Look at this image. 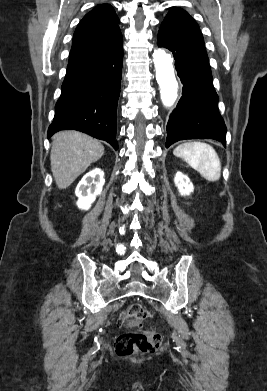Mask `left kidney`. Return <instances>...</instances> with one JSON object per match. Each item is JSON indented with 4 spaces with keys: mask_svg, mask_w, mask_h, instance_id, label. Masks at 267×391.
<instances>
[{
    "mask_svg": "<svg viewBox=\"0 0 267 391\" xmlns=\"http://www.w3.org/2000/svg\"><path fill=\"white\" fill-rule=\"evenodd\" d=\"M174 183L182 196L190 195L194 190L192 182L182 172L176 173Z\"/></svg>",
    "mask_w": 267,
    "mask_h": 391,
    "instance_id": "left-kidney-1",
    "label": "left kidney"
}]
</instances>
